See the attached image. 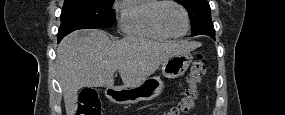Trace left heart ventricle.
I'll use <instances>...</instances> for the list:
<instances>
[{
    "mask_svg": "<svg viewBox=\"0 0 285 115\" xmlns=\"http://www.w3.org/2000/svg\"><path fill=\"white\" fill-rule=\"evenodd\" d=\"M161 20L164 26L173 34H181L186 29L184 13L176 5H165L161 10Z\"/></svg>",
    "mask_w": 285,
    "mask_h": 115,
    "instance_id": "obj_1",
    "label": "left heart ventricle"
}]
</instances>
